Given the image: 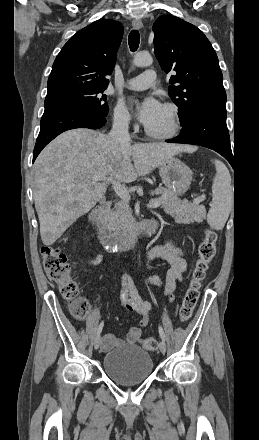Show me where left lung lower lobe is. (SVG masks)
Returning <instances> with one entry per match:
<instances>
[{
  "mask_svg": "<svg viewBox=\"0 0 259 440\" xmlns=\"http://www.w3.org/2000/svg\"><path fill=\"white\" fill-rule=\"evenodd\" d=\"M226 116L227 113L224 109L216 107L201 108L182 125L181 133L177 137L167 140V142L207 147L221 154L232 165L233 155Z\"/></svg>",
  "mask_w": 259,
  "mask_h": 440,
  "instance_id": "left-lung-lower-lobe-1",
  "label": "left lung lower lobe"
}]
</instances>
